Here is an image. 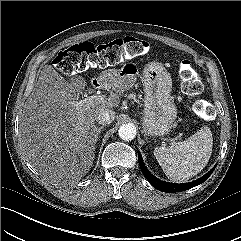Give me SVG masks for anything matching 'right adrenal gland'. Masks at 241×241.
I'll return each instance as SVG.
<instances>
[{
	"label": "right adrenal gland",
	"instance_id": "2a0ac1e0",
	"mask_svg": "<svg viewBox=\"0 0 241 241\" xmlns=\"http://www.w3.org/2000/svg\"><path fill=\"white\" fill-rule=\"evenodd\" d=\"M104 128V126H101V127H99V128H96V135H95V140H96V142L98 141V139H99V135H100V133H101V131H102V129Z\"/></svg>",
	"mask_w": 241,
	"mask_h": 241
}]
</instances>
